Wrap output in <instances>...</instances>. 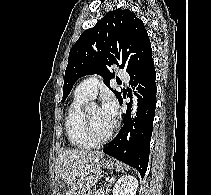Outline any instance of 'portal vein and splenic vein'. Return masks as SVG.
Masks as SVG:
<instances>
[{
    "mask_svg": "<svg viewBox=\"0 0 211 195\" xmlns=\"http://www.w3.org/2000/svg\"><path fill=\"white\" fill-rule=\"evenodd\" d=\"M96 195H104V189H100V190L96 193Z\"/></svg>",
    "mask_w": 211,
    "mask_h": 195,
    "instance_id": "portal-vein-and-splenic-vein-1",
    "label": "portal vein and splenic vein"
}]
</instances>
